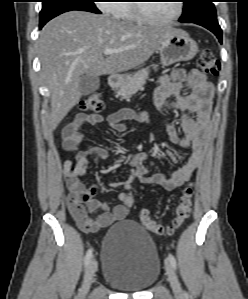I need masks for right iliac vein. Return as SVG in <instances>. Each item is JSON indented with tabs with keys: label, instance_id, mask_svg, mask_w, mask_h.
Returning a JSON list of instances; mask_svg holds the SVG:
<instances>
[{
	"label": "right iliac vein",
	"instance_id": "1",
	"mask_svg": "<svg viewBox=\"0 0 248 299\" xmlns=\"http://www.w3.org/2000/svg\"><path fill=\"white\" fill-rule=\"evenodd\" d=\"M96 269H97L96 260L92 259L90 261L88 267H87V270H86V273H85V276H84V281H83V285H82V288H81V297L82 298H84L87 295V293H88V291L91 287Z\"/></svg>",
	"mask_w": 248,
	"mask_h": 299
}]
</instances>
